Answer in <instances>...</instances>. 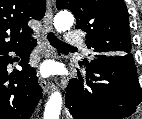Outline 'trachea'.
Instances as JSON below:
<instances>
[{"mask_svg":"<svg viewBox=\"0 0 142 119\" xmlns=\"http://www.w3.org/2000/svg\"><path fill=\"white\" fill-rule=\"evenodd\" d=\"M48 40L55 48L76 49L75 47L64 43L59 40L52 32L48 33Z\"/></svg>","mask_w":142,"mask_h":119,"instance_id":"obj_1","label":"trachea"}]
</instances>
